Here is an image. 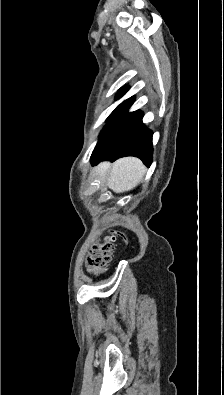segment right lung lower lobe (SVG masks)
Listing matches in <instances>:
<instances>
[{"label": "right lung lower lobe", "mask_w": 224, "mask_h": 395, "mask_svg": "<svg viewBox=\"0 0 224 395\" xmlns=\"http://www.w3.org/2000/svg\"><path fill=\"white\" fill-rule=\"evenodd\" d=\"M127 91L123 88L117 98ZM134 97L121 103L108 117L109 124L102 130L92 153L93 165L103 160L115 161L124 156H135L150 166L152 162V132L142 123L140 111L128 113Z\"/></svg>", "instance_id": "98d812e1"}]
</instances>
